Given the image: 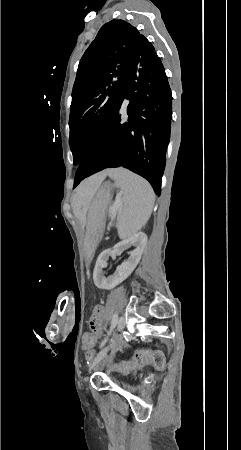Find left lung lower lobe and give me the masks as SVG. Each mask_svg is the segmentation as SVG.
<instances>
[{
	"label": "left lung lower lobe",
	"instance_id": "1",
	"mask_svg": "<svg viewBox=\"0 0 241 450\" xmlns=\"http://www.w3.org/2000/svg\"><path fill=\"white\" fill-rule=\"evenodd\" d=\"M125 98L130 101L128 121L121 123ZM171 119V89L151 45L132 57L119 104L85 151L74 186L105 168L124 167L143 176L160 195Z\"/></svg>",
	"mask_w": 241,
	"mask_h": 450
}]
</instances>
